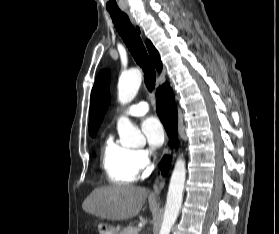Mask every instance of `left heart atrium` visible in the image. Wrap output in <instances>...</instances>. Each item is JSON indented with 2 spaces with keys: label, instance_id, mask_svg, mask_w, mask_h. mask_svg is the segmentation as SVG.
<instances>
[{
  "label": "left heart atrium",
  "instance_id": "left-heart-atrium-1",
  "mask_svg": "<svg viewBox=\"0 0 279 234\" xmlns=\"http://www.w3.org/2000/svg\"><path fill=\"white\" fill-rule=\"evenodd\" d=\"M142 132L151 148H159L165 139V131L161 122L153 116L147 117L141 124Z\"/></svg>",
  "mask_w": 279,
  "mask_h": 234
}]
</instances>
